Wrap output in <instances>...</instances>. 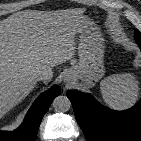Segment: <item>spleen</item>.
Returning <instances> with one entry per match:
<instances>
[{
    "instance_id": "1",
    "label": "spleen",
    "mask_w": 141,
    "mask_h": 141,
    "mask_svg": "<svg viewBox=\"0 0 141 141\" xmlns=\"http://www.w3.org/2000/svg\"><path fill=\"white\" fill-rule=\"evenodd\" d=\"M100 90L105 103L118 110L125 109L137 100L138 81L130 73L114 75L101 82Z\"/></svg>"
}]
</instances>
